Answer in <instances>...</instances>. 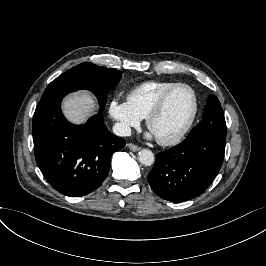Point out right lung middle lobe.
Listing matches in <instances>:
<instances>
[{
  "label": "right lung middle lobe",
  "mask_w": 266,
  "mask_h": 266,
  "mask_svg": "<svg viewBox=\"0 0 266 266\" xmlns=\"http://www.w3.org/2000/svg\"><path fill=\"white\" fill-rule=\"evenodd\" d=\"M121 77L122 71L84 62L53 80L41 99L57 92L69 93L88 89L97 96L101 108L104 109L110 88L115 86Z\"/></svg>",
  "instance_id": "dd1d6c3e"
}]
</instances>
